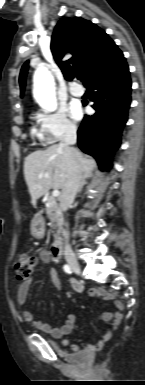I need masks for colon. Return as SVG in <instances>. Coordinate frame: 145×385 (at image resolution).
<instances>
[{"mask_svg": "<svg viewBox=\"0 0 145 385\" xmlns=\"http://www.w3.org/2000/svg\"><path fill=\"white\" fill-rule=\"evenodd\" d=\"M37 260L33 255L23 254L18 257L15 263V276L20 281H27L35 267Z\"/></svg>", "mask_w": 145, "mask_h": 385, "instance_id": "1", "label": "colon"}]
</instances>
